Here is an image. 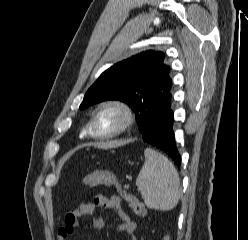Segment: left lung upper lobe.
I'll use <instances>...</instances> for the list:
<instances>
[{
	"instance_id": "obj_1",
	"label": "left lung upper lobe",
	"mask_w": 248,
	"mask_h": 240,
	"mask_svg": "<svg viewBox=\"0 0 248 240\" xmlns=\"http://www.w3.org/2000/svg\"><path fill=\"white\" fill-rule=\"evenodd\" d=\"M164 58V53L150 50L114 64L88 89L80 108L120 100L135 112L143 133L156 113L172 99L170 68Z\"/></svg>"
}]
</instances>
